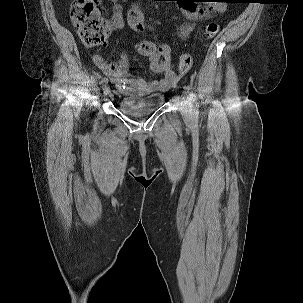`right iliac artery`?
I'll use <instances>...</instances> for the list:
<instances>
[{
    "mask_svg": "<svg viewBox=\"0 0 303 303\" xmlns=\"http://www.w3.org/2000/svg\"><path fill=\"white\" fill-rule=\"evenodd\" d=\"M99 79H101L100 80V82H99V84L103 87V86H105L107 83H108V79L106 78V77H101V76H99L98 77Z\"/></svg>",
    "mask_w": 303,
    "mask_h": 303,
    "instance_id": "obj_1",
    "label": "right iliac artery"
}]
</instances>
